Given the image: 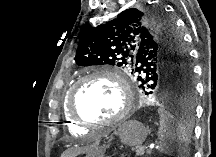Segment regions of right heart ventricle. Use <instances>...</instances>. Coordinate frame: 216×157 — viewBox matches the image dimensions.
Wrapping results in <instances>:
<instances>
[{"label":"right heart ventricle","instance_id":"e07e8e85","mask_svg":"<svg viewBox=\"0 0 216 157\" xmlns=\"http://www.w3.org/2000/svg\"><path fill=\"white\" fill-rule=\"evenodd\" d=\"M69 92L66 93L65 100H64V115H65V121L67 123V129L70 133L75 135H85L87 133V130L85 127L81 126L80 124L76 123L74 120L70 118L67 112V100H68Z\"/></svg>","mask_w":216,"mask_h":157}]
</instances>
